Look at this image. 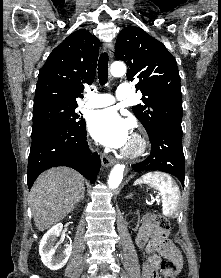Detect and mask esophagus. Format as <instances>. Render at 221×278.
<instances>
[{
    "instance_id": "esophagus-1",
    "label": "esophagus",
    "mask_w": 221,
    "mask_h": 278,
    "mask_svg": "<svg viewBox=\"0 0 221 278\" xmlns=\"http://www.w3.org/2000/svg\"><path fill=\"white\" fill-rule=\"evenodd\" d=\"M104 48L108 52L110 58H112L113 57V50H114L113 44L112 43H105ZM101 162H102V165L104 167H109V166L115 164L116 160L113 157H110V156H107V155L103 154L101 156Z\"/></svg>"
}]
</instances>
